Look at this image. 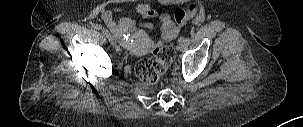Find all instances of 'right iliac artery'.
Wrapping results in <instances>:
<instances>
[{
	"label": "right iliac artery",
	"mask_w": 303,
	"mask_h": 127,
	"mask_svg": "<svg viewBox=\"0 0 303 127\" xmlns=\"http://www.w3.org/2000/svg\"><path fill=\"white\" fill-rule=\"evenodd\" d=\"M94 27L97 30H101V32L104 36H107L109 34L108 30L103 28L101 25L96 24Z\"/></svg>",
	"instance_id": "right-iliac-artery-1"
}]
</instances>
